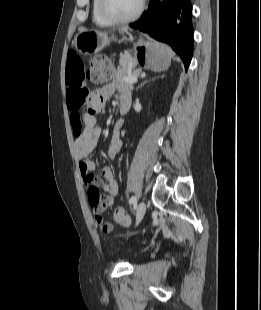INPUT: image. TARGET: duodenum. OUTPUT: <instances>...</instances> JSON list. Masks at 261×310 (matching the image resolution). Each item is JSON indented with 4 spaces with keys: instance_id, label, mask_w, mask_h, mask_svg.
<instances>
[{
    "instance_id": "obj_1",
    "label": "duodenum",
    "mask_w": 261,
    "mask_h": 310,
    "mask_svg": "<svg viewBox=\"0 0 261 310\" xmlns=\"http://www.w3.org/2000/svg\"><path fill=\"white\" fill-rule=\"evenodd\" d=\"M131 105V98L128 96H122L120 99V111L126 113Z\"/></svg>"
}]
</instances>
